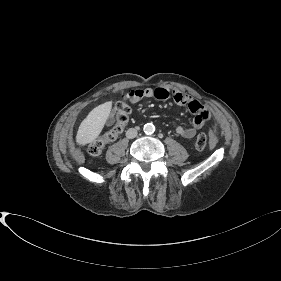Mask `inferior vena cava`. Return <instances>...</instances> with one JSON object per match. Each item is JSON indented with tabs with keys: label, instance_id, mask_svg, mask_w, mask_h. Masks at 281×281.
<instances>
[{
	"label": "inferior vena cava",
	"instance_id": "1",
	"mask_svg": "<svg viewBox=\"0 0 281 281\" xmlns=\"http://www.w3.org/2000/svg\"><path fill=\"white\" fill-rule=\"evenodd\" d=\"M137 136V130L134 128H130L126 132V137L129 139H133Z\"/></svg>",
	"mask_w": 281,
	"mask_h": 281
}]
</instances>
